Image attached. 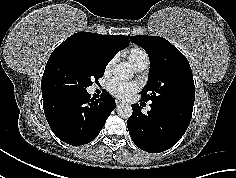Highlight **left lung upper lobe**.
<instances>
[{
	"label": "left lung upper lobe",
	"mask_w": 236,
	"mask_h": 178,
	"mask_svg": "<svg viewBox=\"0 0 236 178\" xmlns=\"http://www.w3.org/2000/svg\"><path fill=\"white\" fill-rule=\"evenodd\" d=\"M149 55L148 83L142 100L193 108L195 86L187 58L169 41L157 36H129Z\"/></svg>",
	"instance_id": "left-lung-upper-lobe-1"
}]
</instances>
